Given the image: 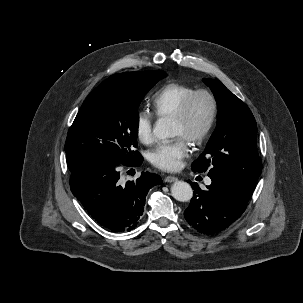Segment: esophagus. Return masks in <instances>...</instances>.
Masks as SVG:
<instances>
[{"label":"esophagus","instance_id":"obj_1","mask_svg":"<svg viewBox=\"0 0 303 303\" xmlns=\"http://www.w3.org/2000/svg\"><path fill=\"white\" fill-rule=\"evenodd\" d=\"M177 180H178V178L175 177V176H167V177H165V179H164V181L167 182V183H172V182H175V181H177Z\"/></svg>","mask_w":303,"mask_h":303}]
</instances>
